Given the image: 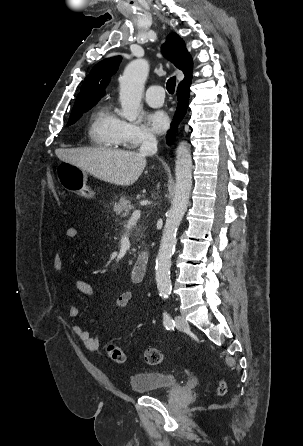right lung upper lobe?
<instances>
[{
  "label": "right lung upper lobe",
  "instance_id": "right-lung-upper-lobe-1",
  "mask_svg": "<svg viewBox=\"0 0 303 446\" xmlns=\"http://www.w3.org/2000/svg\"><path fill=\"white\" fill-rule=\"evenodd\" d=\"M162 51L177 68L184 72L185 78L180 84L191 81L192 59L184 41L176 33L168 35L167 42L162 46ZM121 59V56H115L105 59L93 67L81 86V91L76 98L73 110L86 105L96 104L99 101L105 94V86L110 77L118 70Z\"/></svg>",
  "mask_w": 303,
  "mask_h": 446
}]
</instances>
